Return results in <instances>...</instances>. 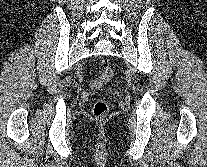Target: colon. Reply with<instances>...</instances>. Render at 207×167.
Returning <instances> with one entry per match:
<instances>
[{
    "label": "colon",
    "mask_w": 207,
    "mask_h": 167,
    "mask_svg": "<svg viewBox=\"0 0 207 167\" xmlns=\"http://www.w3.org/2000/svg\"><path fill=\"white\" fill-rule=\"evenodd\" d=\"M113 77L111 68H104L99 76L91 80L90 86L92 89H99ZM109 104L106 101H97L93 106V114L96 118L102 119L109 113Z\"/></svg>",
    "instance_id": "obj_1"
}]
</instances>
